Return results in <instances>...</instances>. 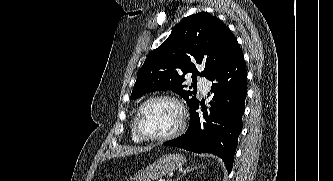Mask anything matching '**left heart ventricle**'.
I'll use <instances>...</instances> for the list:
<instances>
[{
    "label": "left heart ventricle",
    "instance_id": "b2bd125f",
    "mask_svg": "<svg viewBox=\"0 0 333 181\" xmlns=\"http://www.w3.org/2000/svg\"><path fill=\"white\" fill-rule=\"evenodd\" d=\"M179 120L180 112L176 104L168 100H157L144 109L140 126L150 136H162L172 132Z\"/></svg>",
    "mask_w": 333,
    "mask_h": 181
}]
</instances>
